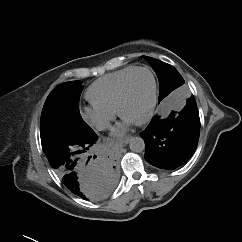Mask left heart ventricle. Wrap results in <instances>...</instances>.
<instances>
[{
  "label": "left heart ventricle",
  "mask_w": 242,
  "mask_h": 242,
  "mask_svg": "<svg viewBox=\"0 0 242 242\" xmlns=\"http://www.w3.org/2000/svg\"><path fill=\"white\" fill-rule=\"evenodd\" d=\"M153 82L149 73L138 72L130 80L127 95L122 105L123 117L136 122L143 118L149 108Z\"/></svg>",
  "instance_id": "left-heart-ventricle-1"
}]
</instances>
